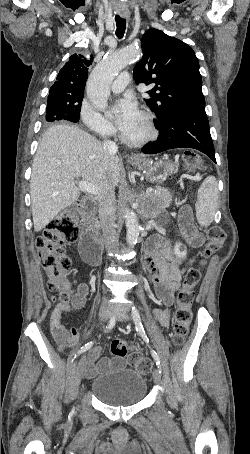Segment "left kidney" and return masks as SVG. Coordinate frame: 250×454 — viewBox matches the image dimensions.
Here are the masks:
<instances>
[{"instance_id":"1","label":"left kidney","mask_w":250,"mask_h":454,"mask_svg":"<svg viewBox=\"0 0 250 454\" xmlns=\"http://www.w3.org/2000/svg\"><path fill=\"white\" fill-rule=\"evenodd\" d=\"M181 245H182L181 243H176V244H175L174 253H175L179 258H184V257H186L187 252H186V251H183V252L180 251V246H181Z\"/></svg>"}]
</instances>
